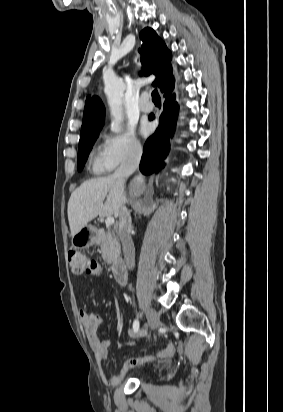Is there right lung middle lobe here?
<instances>
[{
	"mask_svg": "<svg viewBox=\"0 0 283 412\" xmlns=\"http://www.w3.org/2000/svg\"><path fill=\"white\" fill-rule=\"evenodd\" d=\"M98 135L99 132H95L80 138L77 158L78 171L82 170Z\"/></svg>",
	"mask_w": 283,
	"mask_h": 412,
	"instance_id": "obj_1",
	"label": "right lung middle lobe"
}]
</instances>
